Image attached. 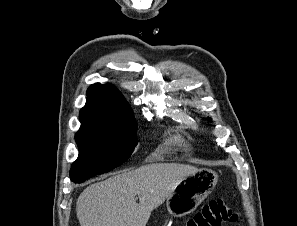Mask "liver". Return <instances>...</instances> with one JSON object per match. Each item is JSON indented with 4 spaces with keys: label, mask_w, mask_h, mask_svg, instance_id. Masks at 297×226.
<instances>
[{
    "label": "liver",
    "mask_w": 297,
    "mask_h": 226,
    "mask_svg": "<svg viewBox=\"0 0 297 226\" xmlns=\"http://www.w3.org/2000/svg\"><path fill=\"white\" fill-rule=\"evenodd\" d=\"M197 171L191 165L151 163L91 184L76 203L80 226H146L176 185Z\"/></svg>",
    "instance_id": "obj_1"
}]
</instances>
